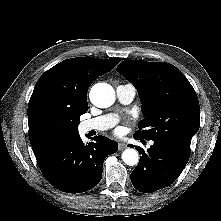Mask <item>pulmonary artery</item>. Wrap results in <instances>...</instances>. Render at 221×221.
<instances>
[{"mask_svg": "<svg viewBox=\"0 0 221 221\" xmlns=\"http://www.w3.org/2000/svg\"><path fill=\"white\" fill-rule=\"evenodd\" d=\"M116 95L120 103L130 104L136 95V89L132 84L119 85L116 88ZM116 122L117 118L115 115L107 114L83 121L80 124V129L84 133L92 130L104 131L113 127Z\"/></svg>", "mask_w": 221, "mask_h": 221, "instance_id": "obj_1", "label": "pulmonary artery"}]
</instances>
